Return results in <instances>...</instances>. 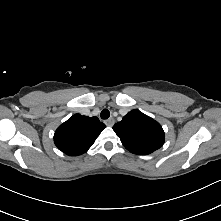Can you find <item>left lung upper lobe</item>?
Here are the masks:
<instances>
[{
	"label": "left lung upper lobe",
	"mask_w": 221,
	"mask_h": 221,
	"mask_svg": "<svg viewBox=\"0 0 221 221\" xmlns=\"http://www.w3.org/2000/svg\"><path fill=\"white\" fill-rule=\"evenodd\" d=\"M113 130L125 148L134 154H150L164 144L161 125L139 110L128 112L122 121L113 126Z\"/></svg>",
	"instance_id": "obj_1"
}]
</instances>
